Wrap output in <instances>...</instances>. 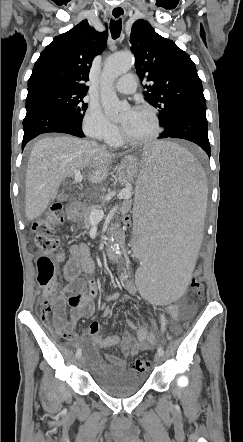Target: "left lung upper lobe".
I'll return each instance as SVG.
<instances>
[{
    "label": "left lung upper lobe",
    "instance_id": "5c2ea615",
    "mask_svg": "<svg viewBox=\"0 0 243 442\" xmlns=\"http://www.w3.org/2000/svg\"><path fill=\"white\" fill-rule=\"evenodd\" d=\"M130 43L138 76L152 83L145 86L144 95L158 109L161 125L182 103L205 100L190 56L173 41L157 34L147 21L141 19L133 24Z\"/></svg>",
    "mask_w": 243,
    "mask_h": 442
}]
</instances>
